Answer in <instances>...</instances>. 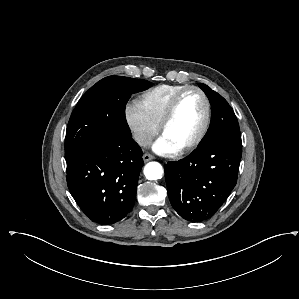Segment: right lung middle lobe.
I'll use <instances>...</instances> for the list:
<instances>
[{
	"mask_svg": "<svg viewBox=\"0 0 299 299\" xmlns=\"http://www.w3.org/2000/svg\"><path fill=\"white\" fill-rule=\"evenodd\" d=\"M152 84L122 76L103 78L78 102L68 122L65 138L66 162L100 142L130 137L125 106L133 93Z\"/></svg>",
	"mask_w": 299,
	"mask_h": 299,
	"instance_id": "1",
	"label": "right lung middle lobe"
}]
</instances>
